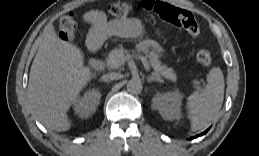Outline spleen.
I'll use <instances>...</instances> for the list:
<instances>
[{
	"instance_id": "1",
	"label": "spleen",
	"mask_w": 259,
	"mask_h": 156,
	"mask_svg": "<svg viewBox=\"0 0 259 156\" xmlns=\"http://www.w3.org/2000/svg\"><path fill=\"white\" fill-rule=\"evenodd\" d=\"M224 75L219 67L212 68L207 75V84L187 98L186 111L191 130L207 127L218 115L224 99Z\"/></svg>"
}]
</instances>
